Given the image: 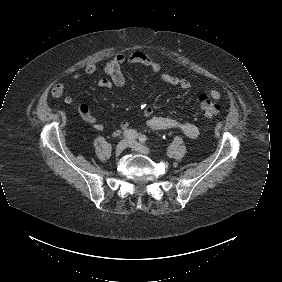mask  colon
Returning <instances> with one entry per match:
<instances>
[{
    "label": "colon",
    "mask_w": 282,
    "mask_h": 282,
    "mask_svg": "<svg viewBox=\"0 0 282 282\" xmlns=\"http://www.w3.org/2000/svg\"><path fill=\"white\" fill-rule=\"evenodd\" d=\"M199 102L202 112L207 118L212 119L219 114L220 107L212 101L209 96L201 95L199 97Z\"/></svg>",
    "instance_id": "obj_1"
}]
</instances>
